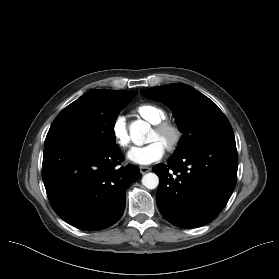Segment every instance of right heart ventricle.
Wrapping results in <instances>:
<instances>
[{
	"mask_svg": "<svg viewBox=\"0 0 279 279\" xmlns=\"http://www.w3.org/2000/svg\"><path fill=\"white\" fill-rule=\"evenodd\" d=\"M136 113L151 124L158 123L166 118L165 111L154 104L144 103L136 108Z\"/></svg>",
	"mask_w": 279,
	"mask_h": 279,
	"instance_id": "obj_1",
	"label": "right heart ventricle"
}]
</instances>
